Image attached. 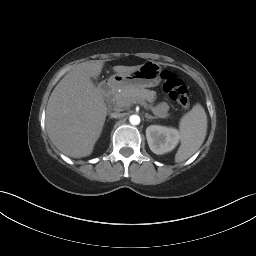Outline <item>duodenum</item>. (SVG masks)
Masks as SVG:
<instances>
[{
  "instance_id": "duodenum-1",
  "label": "duodenum",
  "mask_w": 256,
  "mask_h": 256,
  "mask_svg": "<svg viewBox=\"0 0 256 256\" xmlns=\"http://www.w3.org/2000/svg\"><path fill=\"white\" fill-rule=\"evenodd\" d=\"M115 84L112 81L103 82L99 86L100 95L103 97L108 96L114 90Z\"/></svg>"
}]
</instances>
